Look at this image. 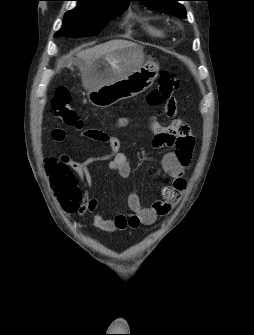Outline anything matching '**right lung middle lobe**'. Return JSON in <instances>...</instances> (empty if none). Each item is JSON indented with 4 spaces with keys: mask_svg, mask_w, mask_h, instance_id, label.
Listing matches in <instances>:
<instances>
[{
    "mask_svg": "<svg viewBox=\"0 0 254 335\" xmlns=\"http://www.w3.org/2000/svg\"><path fill=\"white\" fill-rule=\"evenodd\" d=\"M128 5L79 3L64 15L63 25L55 37H81L98 34L112 19L126 10Z\"/></svg>",
    "mask_w": 254,
    "mask_h": 335,
    "instance_id": "1",
    "label": "right lung middle lobe"
}]
</instances>
